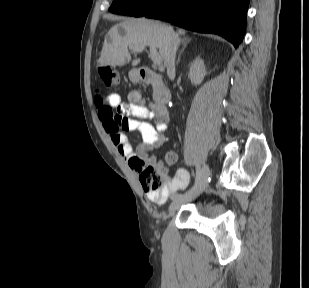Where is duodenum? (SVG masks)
<instances>
[{
    "label": "duodenum",
    "mask_w": 309,
    "mask_h": 288,
    "mask_svg": "<svg viewBox=\"0 0 309 288\" xmlns=\"http://www.w3.org/2000/svg\"><path fill=\"white\" fill-rule=\"evenodd\" d=\"M138 75L142 82L153 86L155 103L161 108L166 107L170 101L171 94L169 89L165 86L162 78L157 73L146 67L139 68Z\"/></svg>",
    "instance_id": "1"
}]
</instances>
